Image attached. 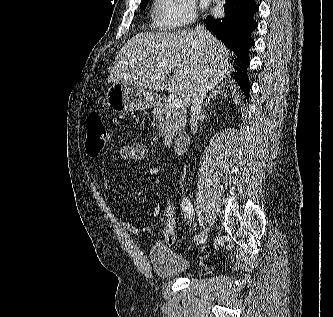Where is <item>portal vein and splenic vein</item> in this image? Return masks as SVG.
<instances>
[{"label": "portal vein and splenic vein", "mask_w": 333, "mask_h": 317, "mask_svg": "<svg viewBox=\"0 0 333 317\" xmlns=\"http://www.w3.org/2000/svg\"><path fill=\"white\" fill-rule=\"evenodd\" d=\"M162 66L166 67L167 65L165 63H162ZM170 70H171V68H170ZM171 107L176 109V110L183 108L182 100L178 97L173 98L172 102H171Z\"/></svg>", "instance_id": "portal-vein-and-splenic-vein-1"}]
</instances>
